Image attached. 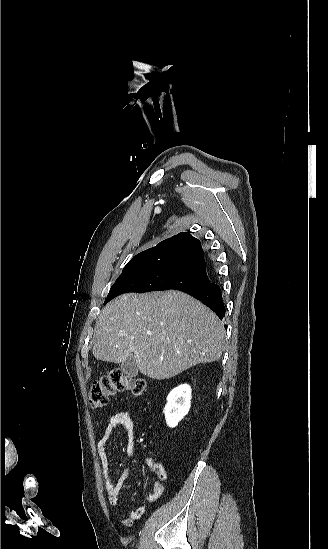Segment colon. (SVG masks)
<instances>
[{
	"label": "colon",
	"instance_id": "5ec220e1",
	"mask_svg": "<svg viewBox=\"0 0 328 549\" xmlns=\"http://www.w3.org/2000/svg\"><path fill=\"white\" fill-rule=\"evenodd\" d=\"M146 388L142 379H132L119 370H113L95 382L89 392V404L93 408H102L107 405L109 398L122 391H130L140 395ZM137 515L132 513L122 518V522L129 526Z\"/></svg>",
	"mask_w": 328,
	"mask_h": 549
}]
</instances>
